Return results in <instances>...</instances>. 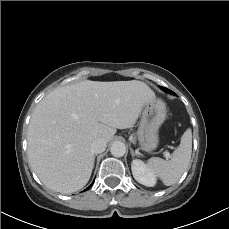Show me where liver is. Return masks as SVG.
<instances>
[{
    "instance_id": "6515ba94",
    "label": "liver",
    "mask_w": 229,
    "mask_h": 229,
    "mask_svg": "<svg viewBox=\"0 0 229 229\" xmlns=\"http://www.w3.org/2000/svg\"><path fill=\"white\" fill-rule=\"evenodd\" d=\"M155 93L144 82L82 81L56 88L34 110L28 127V158L49 189H82L94 168L91 143L109 142L116 129L132 127Z\"/></svg>"
}]
</instances>
